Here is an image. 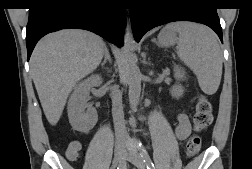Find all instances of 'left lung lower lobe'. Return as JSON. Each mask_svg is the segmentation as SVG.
Instances as JSON below:
<instances>
[{"label": "left lung lower lobe", "mask_w": 252, "mask_h": 169, "mask_svg": "<svg viewBox=\"0 0 252 169\" xmlns=\"http://www.w3.org/2000/svg\"><path fill=\"white\" fill-rule=\"evenodd\" d=\"M134 38L137 42L150 29L175 21H192L213 29L222 41V28L212 0H162L151 8L130 9ZM223 42V41H222Z\"/></svg>", "instance_id": "1"}]
</instances>
